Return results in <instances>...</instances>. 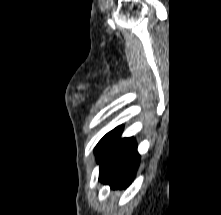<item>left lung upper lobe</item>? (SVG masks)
Segmentation results:
<instances>
[{"instance_id": "5c2ea615", "label": "left lung upper lobe", "mask_w": 221, "mask_h": 215, "mask_svg": "<svg viewBox=\"0 0 221 215\" xmlns=\"http://www.w3.org/2000/svg\"><path fill=\"white\" fill-rule=\"evenodd\" d=\"M106 135L99 141V143L97 144L96 148H95V153L96 155H98L102 145H103V142H104V139H105Z\"/></svg>"}]
</instances>
